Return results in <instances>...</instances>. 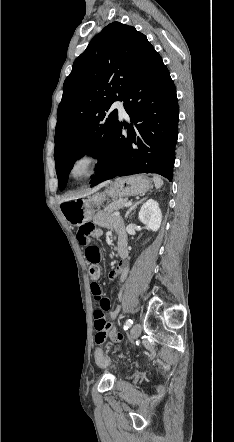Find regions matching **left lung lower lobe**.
I'll use <instances>...</instances> for the list:
<instances>
[{"label":"left lung lower lobe","instance_id":"left-lung-lower-lobe-1","mask_svg":"<svg viewBox=\"0 0 234 442\" xmlns=\"http://www.w3.org/2000/svg\"><path fill=\"white\" fill-rule=\"evenodd\" d=\"M122 100L131 124L118 123L109 153L92 177L91 187L116 176L144 172L158 173L172 181L178 99L168 69L156 51ZM123 126L127 136L122 135Z\"/></svg>","mask_w":234,"mask_h":442}]
</instances>
